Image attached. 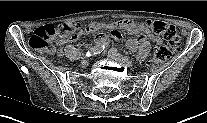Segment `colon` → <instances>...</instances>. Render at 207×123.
<instances>
[{
  "label": "colon",
  "mask_w": 207,
  "mask_h": 123,
  "mask_svg": "<svg viewBox=\"0 0 207 123\" xmlns=\"http://www.w3.org/2000/svg\"><path fill=\"white\" fill-rule=\"evenodd\" d=\"M149 28L156 34L163 36L166 44L155 50L149 60L152 68L158 67L166 61L172 54L178 53L181 49V37L177 34L175 28L160 20H150L147 22ZM78 30L75 23H63L58 26L48 24L37 28L29 39V45L33 49L47 51L52 53L54 47L52 40L56 35L66 38H74ZM119 36V34H117Z\"/></svg>",
  "instance_id": "obj_1"
}]
</instances>
